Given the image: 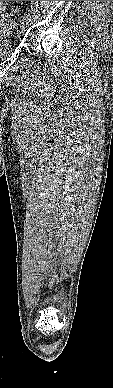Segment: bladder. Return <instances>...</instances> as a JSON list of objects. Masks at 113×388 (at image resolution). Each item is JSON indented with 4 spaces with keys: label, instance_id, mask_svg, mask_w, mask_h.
<instances>
[{
    "label": "bladder",
    "instance_id": "1",
    "mask_svg": "<svg viewBox=\"0 0 113 388\" xmlns=\"http://www.w3.org/2000/svg\"><path fill=\"white\" fill-rule=\"evenodd\" d=\"M13 26V22L9 18L0 20V58L7 56L11 51L9 41L4 38L10 34Z\"/></svg>",
    "mask_w": 113,
    "mask_h": 388
}]
</instances>
